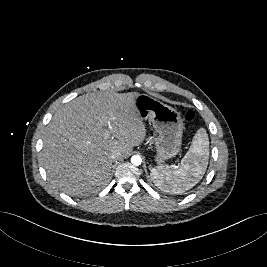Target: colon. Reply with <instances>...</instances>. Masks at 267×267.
Wrapping results in <instances>:
<instances>
[{
	"label": "colon",
	"mask_w": 267,
	"mask_h": 267,
	"mask_svg": "<svg viewBox=\"0 0 267 267\" xmlns=\"http://www.w3.org/2000/svg\"><path fill=\"white\" fill-rule=\"evenodd\" d=\"M185 119L188 121V122H193L194 119H195V113L193 111H187L185 113Z\"/></svg>",
	"instance_id": "5ec220e1"
}]
</instances>
